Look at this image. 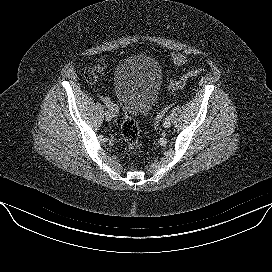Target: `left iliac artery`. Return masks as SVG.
<instances>
[{"label": "left iliac artery", "instance_id": "obj_1", "mask_svg": "<svg viewBox=\"0 0 272 272\" xmlns=\"http://www.w3.org/2000/svg\"><path fill=\"white\" fill-rule=\"evenodd\" d=\"M166 119H171V114H166Z\"/></svg>", "mask_w": 272, "mask_h": 272}]
</instances>
